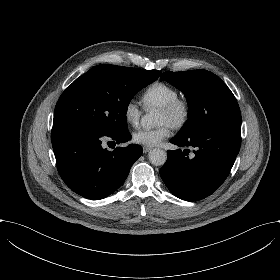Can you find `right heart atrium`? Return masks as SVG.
Returning <instances> with one entry per match:
<instances>
[{"label":"right heart atrium","mask_w":280,"mask_h":280,"mask_svg":"<svg viewBox=\"0 0 280 280\" xmlns=\"http://www.w3.org/2000/svg\"><path fill=\"white\" fill-rule=\"evenodd\" d=\"M123 113L125 120L132 124L136 125L141 115V110L139 109L137 103L134 100H128L123 108Z\"/></svg>","instance_id":"obj_1"}]
</instances>
